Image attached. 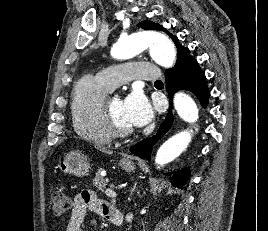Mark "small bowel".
Here are the masks:
<instances>
[{
    "label": "small bowel",
    "mask_w": 268,
    "mask_h": 231,
    "mask_svg": "<svg viewBox=\"0 0 268 231\" xmlns=\"http://www.w3.org/2000/svg\"><path fill=\"white\" fill-rule=\"evenodd\" d=\"M113 210L111 206L99 199L94 191L82 190L73 200L66 231H83L82 223L88 211L95 212L110 220Z\"/></svg>",
    "instance_id": "small-bowel-1"
}]
</instances>
